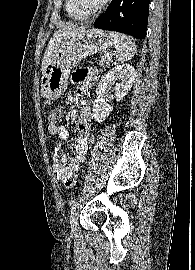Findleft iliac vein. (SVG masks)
Returning <instances> with one entry per match:
<instances>
[{
  "label": "left iliac vein",
  "mask_w": 195,
  "mask_h": 270,
  "mask_svg": "<svg viewBox=\"0 0 195 270\" xmlns=\"http://www.w3.org/2000/svg\"><path fill=\"white\" fill-rule=\"evenodd\" d=\"M71 229L73 232H75L77 230V213H74V215L72 216V219H71Z\"/></svg>",
  "instance_id": "obj_1"
}]
</instances>
